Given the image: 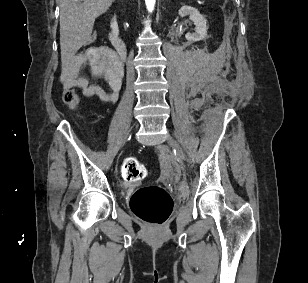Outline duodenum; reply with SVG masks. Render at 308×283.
I'll list each match as a JSON object with an SVG mask.
<instances>
[{
	"mask_svg": "<svg viewBox=\"0 0 308 283\" xmlns=\"http://www.w3.org/2000/svg\"><path fill=\"white\" fill-rule=\"evenodd\" d=\"M109 38H110V41H111L112 45L114 46V48H115V50L118 54L117 58H118L120 65L122 67V61L126 58V55H127L126 44H125L124 40L121 38V36L118 35L114 31L109 32Z\"/></svg>",
	"mask_w": 308,
	"mask_h": 283,
	"instance_id": "410a0bca",
	"label": "duodenum"
}]
</instances>
